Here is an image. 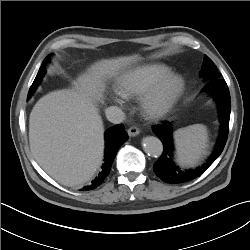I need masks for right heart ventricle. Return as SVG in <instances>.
Instances as JSON below:
<instances>
[{
  "instance_id": "1",
  "label": "right heart ventricle",
  "mask_w": 250,
  "mask_h": 250,
  "mask_svg": "<svg viewBox=\"0 0 250 250\" xmlns=\"http://www.w3.org/2000/svg\"><path fill=\"white\" fill-rule=\"evenodd\" d=\"M171 73V68L162 63L136 66L117 78L115 89L125 98L138 97L159 79Z\"/></svg>"
}]
</instances>
